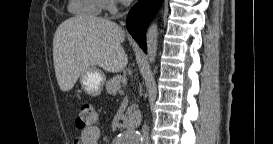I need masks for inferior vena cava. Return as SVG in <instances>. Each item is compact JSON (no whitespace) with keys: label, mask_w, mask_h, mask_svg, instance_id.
<instances>
[{"label":"inferior vena cava","mask_w":273,"mask_h":144,"mask_svg":"<svg viewBox=\"0 0 273 144\" xmlns=\"http://www.w3.org/2000/svg\"><path fill=\"white\" fill-rule=\"evenodd\" d=\"M142 143L143 144H150L149 130H148L147 125L143 126Z\"/></svg>","instance_id":"1"}]
</instances>
